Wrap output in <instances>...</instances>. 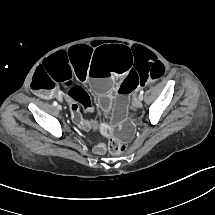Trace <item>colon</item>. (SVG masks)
Masks as SVG:
<instances>
[{
  "label": "colon",
  "instance_id": "colon-1",
  "mask_svg": "<svg viewBox=\"0 0 215 215\" xmlns=\"http://www.w3.org/2000/svg\"><path fill=\"white\" fill-rule=\"evenodd\" d=\"M77 98L86 104L87 112H89V113L94 112L95 107H94L93 103L90 102L88 100V98L82 92H79L77 94ZM109 150L113 154H120L125 150V145L123 143H121L120 141L114 140V141L110 142Z\"/></svg>",
  "mask_w": 215,
  "mask_h": 215
}]
</instances>
